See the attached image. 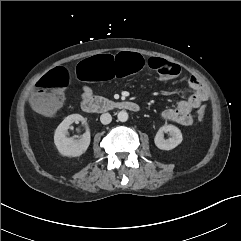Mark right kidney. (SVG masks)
<instances>
[{
    "mask_svg": "<svg viewBox=\"0 0 241 241\" xmlns=\"http://www.w3.org/2000/svg\"><path fill=\"white\" fill-rule=\"evenodd\" d=\"M82 122L85 119L79 114L67 116L57 127L54 135V143L62 156L78 157L86 152L90 145V132L86 131L79 140L67 137V131L72 123Z\"/></svg>",
    "mask_w": 241,
    "mask_h": 241,
    "instance_id": "ca27d5eb",
    "label": "right kidney"
}]
</instances>
